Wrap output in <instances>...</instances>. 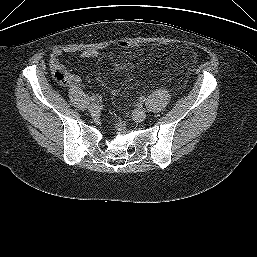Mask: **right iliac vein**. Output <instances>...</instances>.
Here are the masks:
<instances>
[{
	"label": "right iliac vein",
	"mask_w": 257,
	"mask_h": 257,
	"mask_svg": "<svg viewBox=\"0 0 257 257\" xmlns=\"http://www.w3.org/2000/svg\"><path fill=\"white\" fill-rule=\"evenodd\" d=\"M88 110L92 115H96L100 112V108L96 104H90Z\"/></svg>",
	"instance_id": "obj_1"
}]
</instances>
